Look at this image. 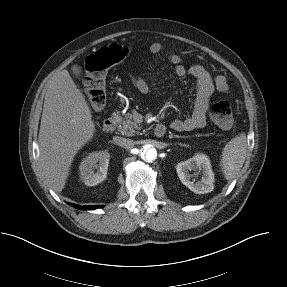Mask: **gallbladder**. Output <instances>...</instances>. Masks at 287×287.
<instances>
[{"label":"gallbladder","mask_w":287,"mask_h":287,"mask_svg":"<svg viewBox=\"0 0 287 287\" xmlns=\"http://www.w3.org/2000/svg\"><path fill=\"white\" fill-rule=\"evenodd\" d=\"M71 72L75 77L79 78L82 74V69L80 66L74 65L71 67Z\"/></svg>","instance_id":"obj_1"}]
</instances>
